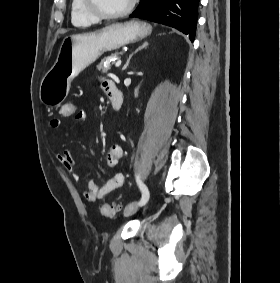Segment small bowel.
Instances as JSON below:
<instances>
[{
	"instance_id": "obj_1",
	"label": "small bowel",
	"mask_w": 280,
	"mask_h": 283,
	"mask_svg": "<svg viewBox=\"0 0 280 283\" xmlns=\"http://www.w3.org/2000/svg\"><path fill=\"white\" fill-rule=\"evenodd\" d=\"M107 83H102V89L105 93H107ZM71 103V102H70ZM79 123L87 122V114L85 111L80 110L76 112V116H72ZM50 127L53 129H57L61 125V120L59 118H52L49 122ZM91 153L93 150L91 149ZM123 157V149L120 145L115 144L112 145L107 153V164L110 167H115L119 161ZM57 159L61 163V165L65 168V170L75 179L78 180V174L76 172V162L73 159L71 153L67 150L62 153L57 154ZM124 182V175L121 173H117L112 178L107 180L104 184H99L94 179H90L88 181L87 187L83 192L85 199L89 202H95L104 198L106 195L111 193L112 191L119 188Z\"/></svg>"
}]
</instances>
